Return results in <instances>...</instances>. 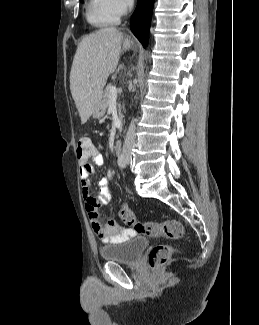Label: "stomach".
Returning <instances> with one entry per match:
<instances>
[{
  "label": "stomach",
  "mask_w": 259,
  "mask_h": 325,
  "mask_svg": "<svg viewBox=\"0 0 259 325\" xmlns=\"http://www.w3.org/2000/svg\"><path fill=\"white\" fill-rule=\"evenodd\" d=\"M106 111V106L104 104V102L101 100L94 108L93 112H92V116L95 119H100L101 117H103V115L105 114Z\"/></svg>",
  "instance_id": "obj_1"
}]
</instances>
